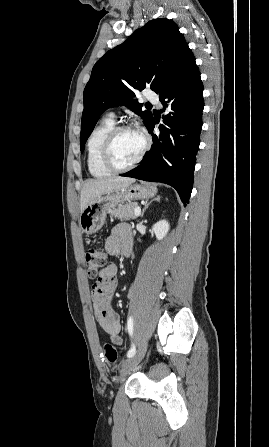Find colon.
<instances>
[{"mask_svg": "<svg viewBox=\"0 0 269 447\" xmlns=\"http://www.w3.org/2000/svg\"><path fill=\"white\" fill-rule=\"evenodd\" d=\"M84 261L86 264V275L89 279H100L101 272L108 263V255L102 249H89L84 253ZM101 349L105 358L111 362L119 357L117 348L108 341H105Z\"/></svg>", "mask_w": 269, "mask_h": 447, "instance_id": "colon-1", "label": "colon"}]
</instances>
